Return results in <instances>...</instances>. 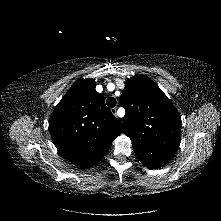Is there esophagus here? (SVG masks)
<instances>
[{
  "instance_id": "esophagus-1",
  "label": "esophagus",
  "mask_w": 221,
  "mask_h": 221,
  "mask_svg": "<svg viewBox=\"0 0 221 221\" xmlns=\"http://www.w3.org/2000/svg\"><path fill=\"white\" fill-rule=\"evenodd\" d=\"M111 112L114 116L117 114V108H111Z\"/></svg>"
}]
</instances>
